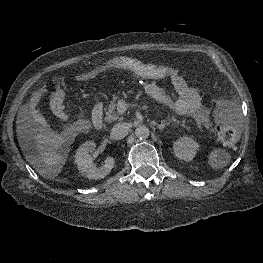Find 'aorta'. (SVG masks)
<instances>
[{
	"instance_id": "obj_1",
	"label": "aorta",
	"mask_w": 263,
	"mask_h": 263,
	"mask_svg": "<svg viewBox=\"0 0 263 263\" xmlns=\"http://www.w3.org/2000/svg\"><path fill=\"white\" fill-rule=\"evenodd\" d=\"M135 135L139 139H146L149 137L150 131H149L148 127H146L144 125H140L135 129Z\"/></svg>"
}]
</instances>
